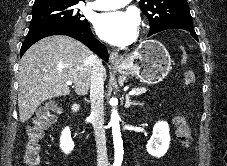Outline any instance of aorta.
I'll use <instances>...</instances> for the list:
<instances>
[{
    "label": "aorta",
    "instance_id": "aorta-1",
    "mask_svg": "<svg viewBox=\"0 0 227 166\" xmlns=\"http://www.w3.org/2000/svg\"><path fill=\"white\" fill-rule=\"evenodd\" d=\"M120 117L116 109L112 110L110 124L112 126L114 149H115V162L114 166H120L123 160V141L121 138L120 126H119Z\"/></svg>",
    "mask_w": 227,
    "mask_h": 166
}]
</instances>
